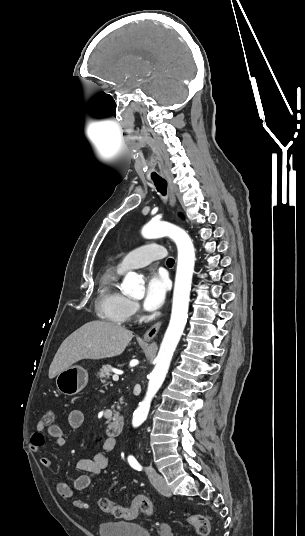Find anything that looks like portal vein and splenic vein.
Masks as SVG:
<instances>
[{
	"instance_id": "obj_1",
	"label": "portal vein and splenic vein",
	"mask_w": 305,
	"mask_h": 536,
	"mask_svg": "<svg viewBox=\"0 0 305 536\" xmlns=\"http://www.w3.org/2000/svg\"><path fill=\"white\" fill-rule=\"evenodd\" d=\"M118 374H122V372H114V376H112L114 382H118L119 380Z\"/></svg>"
}]
</instances>
